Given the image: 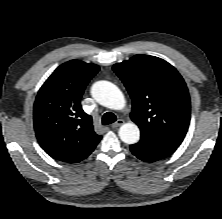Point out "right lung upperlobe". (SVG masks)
Here are the masks:
<instances>
[{
  "instance_id": "cb5924a9",
  "label": "right lung upper lobe",
  "mask_w": 222,
  "mask_h": 219,
  "mask_svg": "<svg viewBox=\"0 0 222 219\" xmlns=\"http://www.w3.org/2000/svg\"><path fill=\"white\" fill-rule=\"evenodd\" d=\"M99 66L80 60L60 65L40 88L33 110L34 129L43 150L67 163L89 156L101 140L80 99Z\"/></svg>"
}]
</instances>
